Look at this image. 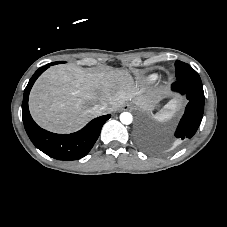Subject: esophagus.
Instances as JSON below:
<instances>
[{"mask_svg": "<svg viewBox=\"0 0 227 227\" xmlns=\"http://www.w3.org/2000/svg\"><path fill=\"white\" fill-rule=\"evenodd\" d=\"M130 108V105L129 104H125L124 106H123V110H128Z\"/></svg>", "mask_w": 227, "mask_h": 227, "instance_id": "esophagus-1", "label": "esophagus"}]
</instances>
